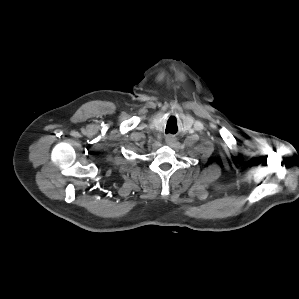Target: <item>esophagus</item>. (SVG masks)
<instances>
[{"instance_id": "1", "label": "esophagus", "mask_w": 299, "mask_h": 299, "mask_svg": "<svg viewBox=\"0 0 299 299\" xmlns=\"http://www.w3.org/2000/svg\"><path fill=\"white\" fill-rule=\"evenodd\" d=\"M165 141H166V143H167L168 145H171V144L174 143L175 139H174L173 136L168 135V136L166 137Z\"/></svg>"}]
</instances>
